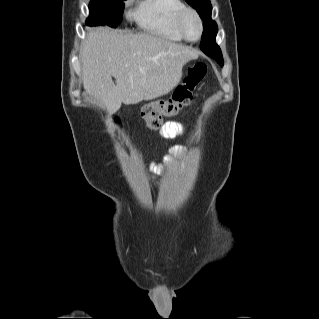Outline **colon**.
<instances>
[{"label":"colon","instance_id":"colon-1","mask_svg":"<svg viewBox=\"0 0 319 319\" xmlns=\"http://www.w3.org/2000/svg\"><path fill=\"white\" fill-rule=\"evenodd\" d=\"M207 72L203 62H197L191 66L187 74L177 85L172 98L164 103H151L144 106L141 115L149 129H158L164 118L177 116L181 109L186 106L192 98L193 92Z\"/></svg>","mask_w":319,"mask_h":319}]
</instances>
